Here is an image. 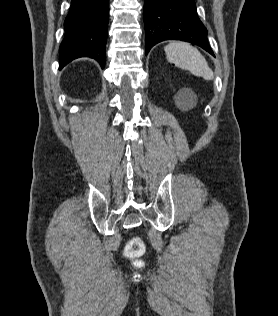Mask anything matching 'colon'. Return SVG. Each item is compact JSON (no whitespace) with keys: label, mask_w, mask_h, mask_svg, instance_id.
I'll list each match as a JSON object with an SVG mask.
<instances>
[{"label":"colon","mask_w":278,"mask_h":316,"mask_svg":"<svg viewBox=\"0 0 278 316\" xmlns=\"http://www.w3.org/2000/svg\"><path fill=\"white\" fill-rule=\"evenodd\" d=\"M144 244L139 238H133L126 247V255L130 258H138L144 253Z\"/></svg>","instance_id":"obj_1"}]
</instances>
